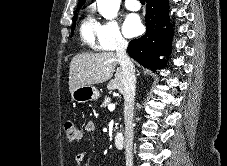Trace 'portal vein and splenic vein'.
<instances>
[{
  "instance_id": "1",
  "label": "portal vein and splenic vein",
  "mask_w": 227,
  "mask_h": 166,
  "mask_svg": "<svg viewBox=\"0 0 227 166\" xmlns=\"http://www.w3.org/2000/svg\"><path fill=\"white\" fill-rule=\"evenodd\" d=\"M115 109V104H109L108 110L113 111Z\"/></svg>"
}]
</instances>
